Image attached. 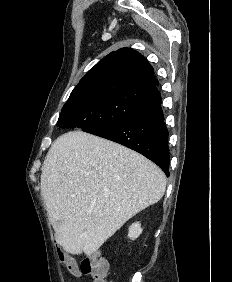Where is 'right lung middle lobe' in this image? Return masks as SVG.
Here are the masks:
<instances>
[{
	"mask_svg": "<svg viewBox=\"0 0 232 282\" xmlns=\"http://www.w3.org/2000/svg\"><path fill=\"white\" fill-rule=\"evenodd\" d=\"M154 107V101L139 91L111 89L84 93L68 99L57 126L88 132L136 118Z\"/></svg>",
	"mask_w": 232,
	"mask_h": 282,
	"instance_id": "1",
	"label": "right lung middle lobe"
}]
</instances>
